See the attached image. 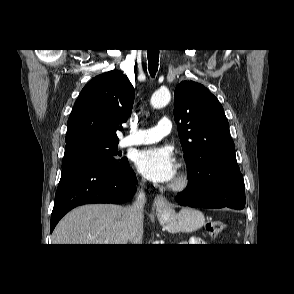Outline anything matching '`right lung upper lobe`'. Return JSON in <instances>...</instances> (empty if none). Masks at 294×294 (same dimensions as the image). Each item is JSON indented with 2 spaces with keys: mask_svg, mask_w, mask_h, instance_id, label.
Returning <instances> with one entry per match:
<instances>
[{
  "mask_svg": "<svg viewBox=\"0 0 294 294\" xmlns=\"http://www.w3.org/2000/svg\"><path fill=\"white\" fill-rule=\"evenodd\" d=\"M134 88L126 75L112 70L93 78L81 91L68 119L66 144L95 139L118 142L117 130L131 115Z\"/></svg>",
  "mask_w": 294,
  "mask_h": 294,
  "instance_id": "1",
  "label": "right lung upper lobe"
}]
</instances>
